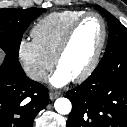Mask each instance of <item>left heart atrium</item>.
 <instances>
[{"mask_svg":"<svg viewBox=\"0 0 127 127\" xmlns=\"http://www.w3.org/2000/svg\"><path fill=\"white\" fill-rule=\"evenodd\" d=\"M71 80L72 77L59 68L50 78V83L55 87H61L69 83Z\"/></svg>","mask_w":127,"mask_h":127,"instance_id":"obj_1","label":"left heart atrium"}]
</instances>
